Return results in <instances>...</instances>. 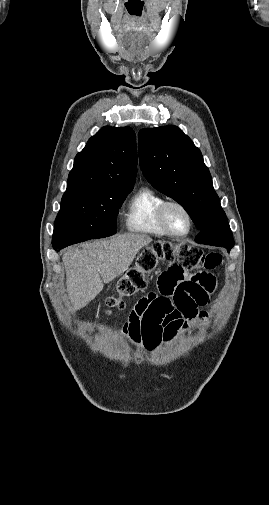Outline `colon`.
<instances>
[{"label":"colon","instance_id":"colon-1","mask_svg":"<svg viewBox=\"0 0 269 505\" xmlns=\"http://www.w3.org/2000/svg\"><path fill=\"white\" fill-rule=\"evenodd\" d=\"M178 262V267L185 268L188 274L200 271L201 268H211L214 271L222 261L219 253L205 252L200 248L188 245L156 244L145 249L138 256L136 265L127 270L118 284V295L107 299L108 312L121 310L124 307L123 297H129L147 286V277L160 262ZM172 269H176L169 267ZM216 282V280H215ZM146 298H149L148 296ZM138 307H142L139 305Z\"/></svg>","mask_w":269,"mask_h":505}]
</instances>
